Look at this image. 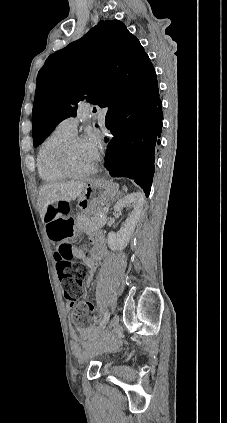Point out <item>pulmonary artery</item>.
I'll return each mask as SVG.
<instances>
[{"label":"pulmonary artery","instance_id":"1","mask_svg":"<svg viewBox=\"0 0 227 423\" xmlns=\"http://www.w3.org/2000/svg\"><path fill=\"white\" fill-rule=\"evenodd\" d=\"M77 116L78 117L66 118L59 124V126L68 133L75 135L77 132L78 121L90 120L92 115L90 111H79Z\"/></svg>","mask_w":227,"mask_h":423}]
</instances>
